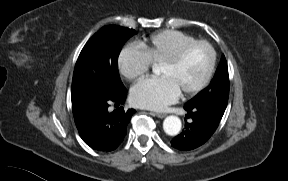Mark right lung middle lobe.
<instances>
[{"mask_svg":"<svg viewBox=\"0 0 288 181\" xmlns=\"http://www.w3.org/2000/svg\"><path fill=\"white\" fill-rule=\"evenodd\" d=\"M137 32L126 27L108 25L95 33L83 47L72 80V110L79 112L102 98L126 88L118 73V56L123 44Z\"/></svg>","mask_w":288,"mask_h":181,"instance_id":"right-lung-middle-lobe-1","label":"right lung middle lobe"}]
</instances>
